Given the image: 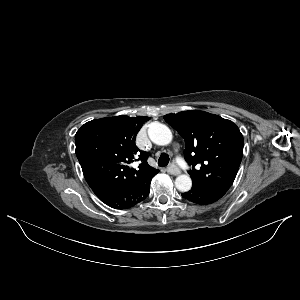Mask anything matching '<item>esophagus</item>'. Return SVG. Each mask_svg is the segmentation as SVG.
Masks as SVG:
<instances>
[{"mask_svg": "<svg viewBox=\"0 0 300 300\" xmlns=\"http://www.w3.org/2000/svg\"><path fill=\"white\" fill-rule=\"evenodd\" d=\"M167 171L171 175H179L180 174L179 168L173 163L170 164V166L167 168Z\"/></svg>", "mask_w": 300, "mask_h": 300, "instance_id": "1", "label": "esophagus"}]
</instances>
